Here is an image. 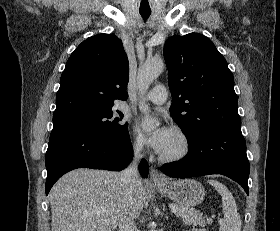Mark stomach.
<instances>
[{
  "label": "stomach",
  "mask_w": 280,
  "mask_h": 231,
  "mask_svg": "<svg viewBox=\"0 0 280 231\" xmlns=\"http://www.w3.org/2000/svg\"><path fill=\"white\" fill-rule=\"evenodd\" d=\"M168 181L167 187L155 183L157 191L165 197H169V199H173V201L181 203L185 207H194V205L202 203L206 191L205 187L196 179H176V181L168 179Z\"/></svg>",
  "instance_id": "0dacf381"
}]
</instances>
